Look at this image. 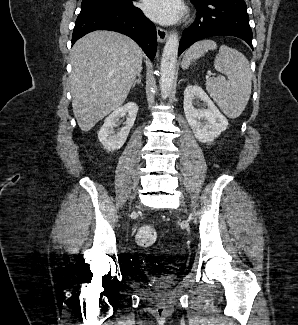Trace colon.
I'll list each match as a JSON object with an SVG mask.
<instances>
[{"mask_svg": "<svg viewBox=\"0 0 298 325\" xmlns=\"http://www.w3.org/2000/svg\"><path fill=\"white\" fill-rule=\"evenodd\" d=\"M157 239V231L151 225H144L136 233V242L138 245L148 247L153 245Z\"/></svg>", "mask_w": 298, "mask_h": 325, "instance_id": "colon-1", "label": "colon"}]
</instances>
